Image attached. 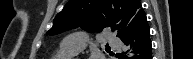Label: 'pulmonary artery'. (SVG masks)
<instances>
[{
  "label": "pulmonary artery",
  "mask_w": 193,
  "mask_h": 59,
  "mask_svg": "<svg viewBox=\"0 0 193 59\" xmlns=\"http://www.w3.org/2000/svg\"><path fill=\"white\" fill-rule=\"evenodd\" d=\"M88 40V36L84 33L70 34L65 37L61 45V49L78 53L85 48ZM109 44L111 46L119 47H122L124 45L120 39L114 36L109 38Z\"/></svg>",
  "instance_id": "pulmonary-artery-1"
}]
</instances>
